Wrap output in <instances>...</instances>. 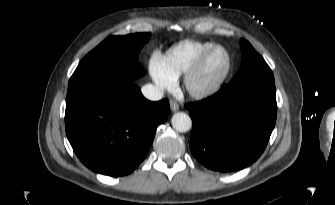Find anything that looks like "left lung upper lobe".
I'll use <instances>...</instances> for the list:
<instances>
[{"instance_id":"5c2ea615","label":"left lung upper lobe","mask_w":335,"mask_h":205,"mask_svg":"<svg viewBox=\"0 0 335 205\" xmlns=\"http://www.w3.org/2000/svg\"><path fill=\"white\" fill-rule=\"evenodd\" d=\"M242 61L241 67L231 82L260 80L275 84L274 76L264 59L245 39L240 40Z\"/></svg>"}]
</instances>
